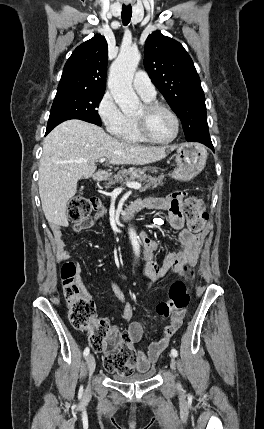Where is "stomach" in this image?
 I'll return each instance as SVG.
<instances>
[{
  "label": "stomach",
  "instance_id": "1",
  "mask_svg": "<svg viewBox=\"0 0 264 429\" xmlns=\"http://www.w3.org/2000/svg\"><path fill=\"white\" fill-rule=\"evenodd\" d=\"M177 168L172 177L181 181H189L198 175L204 168L207 159V150L201 144L182 143L176 150ZM142 171L157 172L155 167H145ZM100 179L108 177L106 172L99 174Z\"/></svg>",
  "mask_w": 264,
  "mask_h": 429
}]
</instances>
